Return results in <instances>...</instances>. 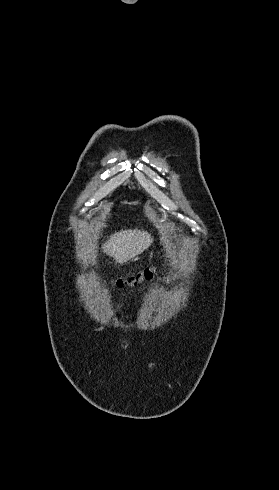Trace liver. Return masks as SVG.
<instances>
[{
	"label": "liver",
	"mask_w": 279,
	"mask_h": 490,
	"mask_svg": "<svg viewBox=\"0 0 279 490\" xmlns=\"http://www.w3.org/2000/svg\"><path fill=\"white\" fill-rule=\"evenodd\" d=\"M154 240L148 232L141 230H122L110 236L108 242L103 244V252L113 258L116 264L129 262L147 250Z\"/></svg>",
	"instance_id": "1"
}]
</instances>
